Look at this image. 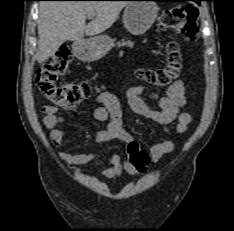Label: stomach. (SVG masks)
Listing matches in <instances>:
<instances>
[{
  "mask_svg": "<svg viewBox=\"0 0 234 231\" xmlns=\"http://www.w3.org/2000/svg\"><path fill=\"white\" fill-rule=\"evenodd\" d=\"M155 2L133 0L126 5L123 13V24L133 35L146 33L158 15ZM114 40L107 35L77 41L73 48L76 56L82 61L93 62L103 58L113 47Z\"/></svg>",
  "mask_w": 234,
  "mask_h": 231,
  "instance_id": "1",
  "label": "stomach"
}]
</instances>
